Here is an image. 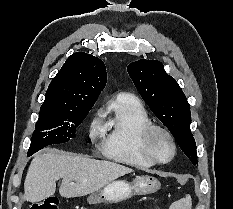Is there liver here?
Here are the masks:
<instances>
[{
  "mask_svg": "<svg viewBox=\"0 0 233 209\" xmlns=\"http://www.w3.org/2000/svg\"><path fill=\"white\" fill-rule=\"evenodd\" d=\"M131 172L133 169L107 160H95L58 151L40 153L29 166L23 199L34 203L48 198L55 193L56 181L60 178L62 183L59 194L62 197L85 196Z\"/></svg>",
  "mask_w": 233,
  "mask_h": 209,
  "instance_id": "obj_1",
  "label": "liver"
}]
</instances>
